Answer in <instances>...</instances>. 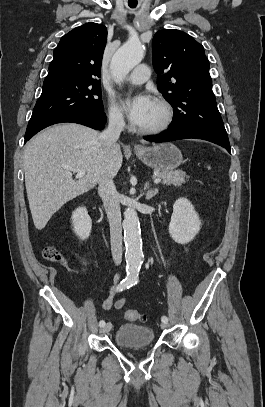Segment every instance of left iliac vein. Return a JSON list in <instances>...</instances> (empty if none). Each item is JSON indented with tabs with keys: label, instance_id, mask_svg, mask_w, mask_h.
Returning <instances> with one entry per match:
<instances>
[{
	"label": "left iliac vein",
	"instance_id": "4c4485c4",
	"mask_svg": "<svg viewBox=\"0 0 265 407\" xmlns=\"http://www.w3.org/2000/svg\"><path fill=\"white\" fill-rule=\"evenodd\" d=\"M160 327H161L162 329H166V328H168V323L162 322L161 325H160Z\"/></svg>",
	"mask_w": 265,
	"mask_h": 407
}]
</instances>
